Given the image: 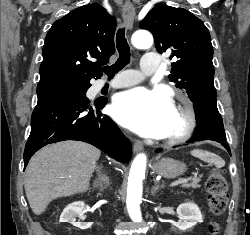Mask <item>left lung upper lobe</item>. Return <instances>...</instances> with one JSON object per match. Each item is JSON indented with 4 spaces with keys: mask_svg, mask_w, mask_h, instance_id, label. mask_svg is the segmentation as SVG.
<instances>
[{
    "mask_svg": "<svg viewBox=\"0 0 250 235\" xmlns=\"http://www.w3.org/2000/svg\"><path fill=\"white\" fill-rule=\"evenodd\" d=\"M149 30L159 53H170V81L195 102L216 96L211 37L204 23L186 9L157 5L140 22Z\"/></svg>",
    "mask_w": 250,
    "mask_h": 235,
    "instance_id": "obj_1",
    "label": "left lung upper lobe"
}]
</instances>
